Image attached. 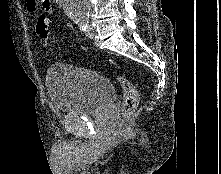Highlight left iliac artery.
Instances as JSON below:
<instances>
[{"label": "left iliac artery", "instance_id": "left-iliac-artery-1", "mask_svg": "<svg viewBox=\"0 0 221 174\" xmlns=\"http://www.w3.org/2000/svg\"><path fill=\"white\" fill-rule=\"evenodd\" d=\"M88 25V22H83L82 26L80 27L82 30H85Z\"/></svg>", "mask_w": 221, "mask_h": 174}]
</instances>
